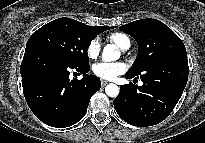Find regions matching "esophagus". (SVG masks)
<instances>
[{"label":"esophagus","mask_w":205,"mask_h":143,"mask_svg":"<svg viewBox=\"0 0 205 143\" xmlns=\"http://www.w3.org/2000/svg\"><path fill=\"white\" fill-rule=\"evenodd\" d=\"M109 82L108 81H106V80H101V84H102V86H105V85H107Z\"/></svg>","instance_id":"1"}]
</instances>
